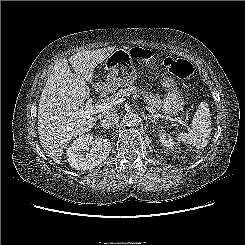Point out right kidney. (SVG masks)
<instances>
[{"instance_id":"right-kidney-1","label":"right kidney","mask_w":245,"mask_h":245,"mask_svg":"<svg viewBox=\"0 0 245 245\" xmlns=\"http://www.w3.org/2000/svg\"><path fill=\"white\" fill-rule=\"evenodd\" d=\"M91 150L84 154V151ZM111 150V142L109 139L95 140L91 134L83 135L77 138L69 148L66 154L71 167L78 170L92 169L104 160H106Z\"/></svg>"}]
</instances>
